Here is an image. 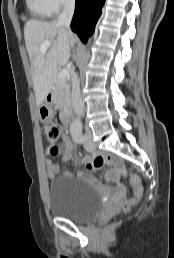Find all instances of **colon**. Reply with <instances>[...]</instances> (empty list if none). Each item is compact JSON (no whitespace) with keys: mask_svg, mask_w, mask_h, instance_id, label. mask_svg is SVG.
I'll use <instances>...</instances> for the list:
<instances>
[{"mask_svg":"<svg viewBox=\"0 0 174 258\" xmlns=\"http://www.w3.org/2000/svg\"><path fill=\"white\" fill-rule=\"evenodd\" d=\"M42 135L45 142L51 147L53 154H56V144L61 137L62 127L56 122H46L42 125ZM131 196L122 203V210L129 211L141 195V182L139 177L132 173L130 176Z\"/></svg>","mask_w":174,"mask_h":258,"instance_id":"obj_1","label":"colon"}]
</instances>
